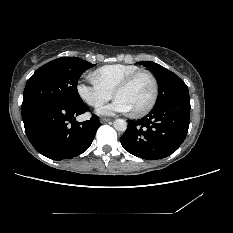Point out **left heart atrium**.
Segmentation results:
<instances>
[{
	"label": "left heart atrium",
	"instance_id": "left-heart-atrium-1",
	"mask_svg": "<svg viewBox=\"0 0 233 233\" xmlns=\"http://www.w3.org/2000/svg\"><path fill=\"white\" fill-rule=\"evenodd\" d=\"M131 111L130 106L121 98H115V100L99 109L101 115H115L117 113H125Z\"/></svg>",
	"mask_w": 233,
	"mask_h": 233
}]
</instances>
